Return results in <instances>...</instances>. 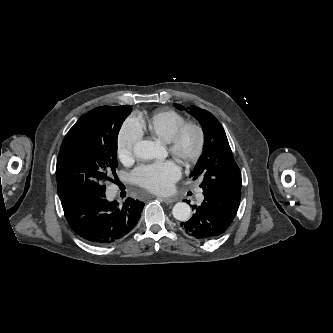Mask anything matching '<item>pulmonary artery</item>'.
Returning a JSON list of instances; mask_svg holds the SVG:
<instances>
[{
    "label": "pulmonary artery",
    "mask_w": 333,
    "mask_h": 333,
    "mask_svg": "<svg viewBox=\"0 0 333 333\" xmlns=\"http://www.w3.org/2000/svg\"><path fill=\"white\" fill-rule=\"evenodd\" d=\"M197 199H198L199 201H202V200H203V196H202V194H198V195H197Z\"/></svg>",
    "instance_id": "pulmonary-artery-1"
}]
</instances>
